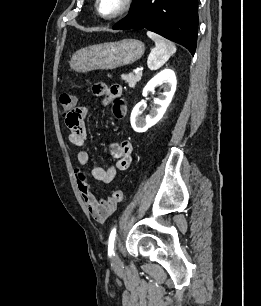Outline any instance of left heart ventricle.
Masks as SVG:
<instances>
[{
	"label": "left heart ventricle",
	"mask_w": 261,
	"mask_h": 306,
	"mask_svg": "<svg viewBox=\"0 0 261 306\" xmlns=\"http://www.w3.org/2000/svg\"><path fill=\"white\" fill-rule=\"evenodd\" d=\"M122 0H101L100 9L104 14L114 13L121 5Z\"/></svg>",
	"instance_id": "obj_1"
}]
</instances>
